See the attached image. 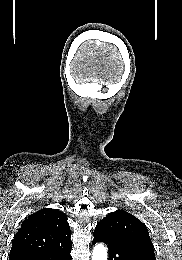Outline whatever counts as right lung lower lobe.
Masks as SVG:
<instances>
[{"label":"right lung lower lobe","mask_w":182,"mask_h":260,"mask_svg":"<svg viewBox=\"0 0 182 260\" xmlns=\"http://www.w3.org/2000/svg\"><path fill=\"white\" fill-rule=\"evenodd\" d=\"M72 245L57 248L47 252L31 255L23 260H71Z\"/></svg>","instance_id":"right-lung-lower-lobe-1"}]
</instances>
